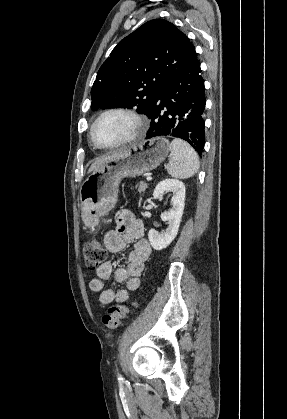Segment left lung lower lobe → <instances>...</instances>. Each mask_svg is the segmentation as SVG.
Segmentation results:
<instances>
[{
  "instance_id": "0a47b994",
  "label": "left lung lower lobe",
  "mask_w": 287,
  "mask_h": 419,
  "mask_svg": "<svg viewBox=\"0 0 287 419\" xmlns=\"http://www.w3.org/2000/svg\"><path fill=\"white\" fill-rule=\"evenodd\" d=\"M204 90L200 64L196 59L156 94L147 114L151 122L146 139L158 136L181 138L201 155L205 143Z\"/></svg>"
}]
</instances>
